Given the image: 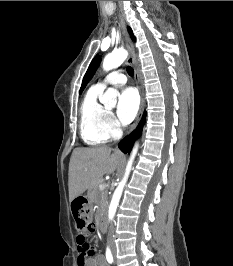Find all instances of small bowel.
Wrapping results in <instances>:
<instances>
[{
  "mask_svg": "<svg viewBox=\"0 0 233 266\" xmlns=\"http://www.w3.org/2000/svg\"><path fill=\"white\" fill-rule=\"evenodd\" d=\"M78 266H106V261L103 255L97 254L88 257L80 264V259L78 257Z\"/></svg>",
  "mask_w": 233,
  "mask_h": 266,
  "instance_id": "1",
  "label": "small bowel"
}]
</instances>
